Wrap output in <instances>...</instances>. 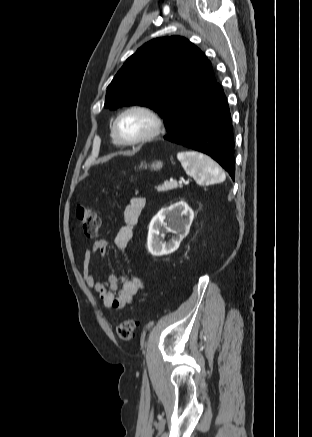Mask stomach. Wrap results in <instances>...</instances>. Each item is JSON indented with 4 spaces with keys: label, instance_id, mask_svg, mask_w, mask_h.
<instances>
[{
    "label": "stomach",
    "instance_id": "obj_1",
    "mask_svg": "<svg viewBox=\"0 0 312 437\" xmlns=\"http://www.w3.org/2000/svg\"><path fill=\"white\" fill-rule=\"evenodd\" d=\"M162 166H163L162 162H161V161H157V162L152 163V164L150 165V168H151L152 170H160V169L162 168ZM143 168L146 169V168H147V165H144Z\"/></svg>",
    "mask_w": 312,
    "mask_h": 437
}]
</instances>
